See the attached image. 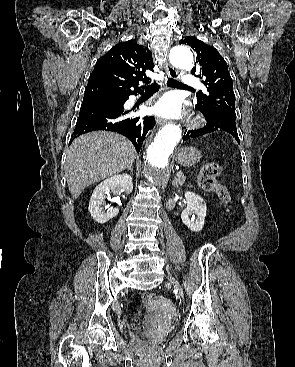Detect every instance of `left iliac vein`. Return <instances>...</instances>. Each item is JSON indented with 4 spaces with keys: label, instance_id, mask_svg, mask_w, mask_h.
Returning a JSON list of instances; mask_svg holds the SVG:
<instances>
[{
    "label": "left iliac vein",
    "instance_id": "left-iliac-vein-1",
    "mask_svg": "<svg viewBox=\"0 0 295 367\" xmlns=\"http://www.w3.org/2000/svg\"><path fill=\"white\" fill-rule=\"evenodd\" d=\"M170 282L174 285V287L178 290L179 295L183 298V290L177 280H175L173 277H169Z\"/></svg>",
    "mask_w": 295,
    "mask_h": 367
}]
</instances>
